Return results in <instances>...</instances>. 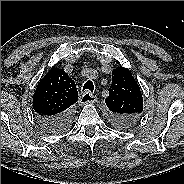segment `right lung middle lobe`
<instances>
[{"mask_svg": "<svg viewBox=\"0 0 184 184\" xmlns=\"http://www.w3.org/2000/svg\"><path fill=\"white\" fill-rule=\"evenodd\" d=\"M70 125H71V121H69V123L68 124H66L61 130H59L57 133H61V132H63V131H66L69 127H70Z\"/></svg>", "mask_w": 184, "mask_h": 184, "instance_id": "right-lung-middle-lobe-1", "label": "right lung middle lobe"}]
</instances>
